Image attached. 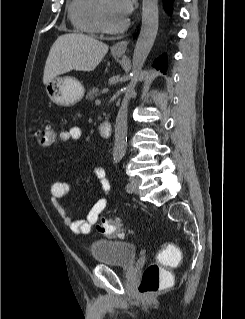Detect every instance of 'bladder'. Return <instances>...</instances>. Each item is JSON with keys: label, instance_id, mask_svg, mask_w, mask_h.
I'll use <instances>...</instances> for the list:
<instances>
[{"label": "bladder", "instance_id": "1", "mask_svg": "<svg viewBox=\"0 0 245 319\" xmlns=\"http://www.w3.org/2000/svg\"><path fill=\"white\" fill-rule=\"evenodd\" d=\"M90 254L97 264L131 267L136 259L137 246L131 242L98 239L91 243Z\"/></svg>", "mask_w": 245, "mask_h": 319}]
</instances>
